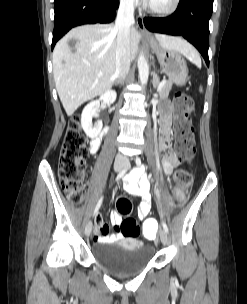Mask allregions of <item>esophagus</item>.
<instances>
[{
    "instance_id": "esophagus-1",
    "label": "esophagus",
    "mask_w": 247,
    "mask_h": 304,
    "mask_svg": "<svg viewBox=\"0 0 247 304\" xmlns=\"http://www.w3.org/2000/svg\"><path fill=\"white\" fill-rule=\"evenodd\" d=\"M137 26L139 28V30L145 35V36H150L149 31L145 28L144 25V20L142 16H138L137 17Z\"/></svg>"
}]
</instances>
